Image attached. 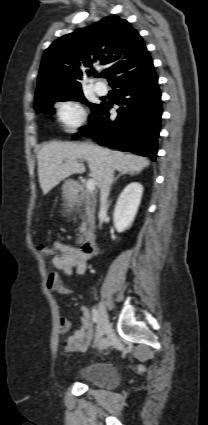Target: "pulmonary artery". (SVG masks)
<instances>
[{"label": "pulmonary artery", "instance_id": "1", "mask_svg": "<svg viewBox=\"0 0 208 425\" xmlns=\"http://www.w3.org/2000/svg\"><path fill=\"white\" fill-rule=\"evenodd\" d=\"M94 90L99 95H105L108 91L107 85L101 82L94 84Z\"/></svg>", "mask_w": 208, "mask_h": 425}]
</instances>
